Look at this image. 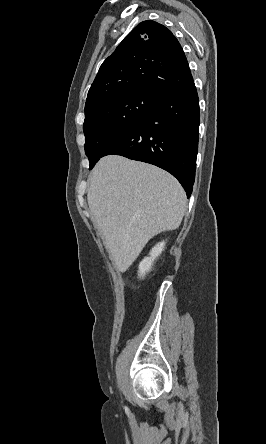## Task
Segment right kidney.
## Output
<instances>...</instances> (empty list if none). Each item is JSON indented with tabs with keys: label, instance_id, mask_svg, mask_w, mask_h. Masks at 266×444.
<instances>
[{
	"label": "right kidney",
	"instance_id": "ca27d5eb",
	"mask_svg": "<svg viewBox=\"0 0 266 444\" xmlns=\"http://www.w3.org/2000/svg\"><path fill=\"white\" fill-rule=\"evenodd\" d=\"M165 242L158 243L150 252V257H146L139 265V277H144L152 268L154 260L162 253Z\"/></svg>",
	"mask_w": 266,
	"mask_h": 444
}]
</instances>
